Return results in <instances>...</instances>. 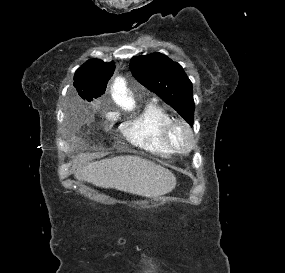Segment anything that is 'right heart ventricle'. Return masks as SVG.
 <instances>
[{
    "instance_id": "e07e8e85",
    "label": "right heart ventricle",
    "mask_w": 285,
    "mask_h": 273,
    "mask_svg": "<svg viewBox=\"0 0 285 273\" xmlns=\"http://www.w3.org/2000/svg\"><path fill=\"white\" fill-rule=\"evenodd\" d=\"M172 115L155 102L148 103L133 120L121 126L123 137L133 146L142 150L169 156L174 151L164 138V129Z\"/></svg>"
}]
</instances>
